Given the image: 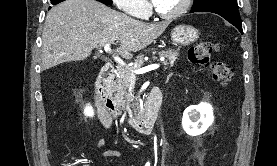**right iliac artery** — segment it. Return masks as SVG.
Here are the masks:
<instances>
[{"label": "right iliac artery", "instance_id": "right-iliac-artery-1", "mask_svg": "<svg viewBox=\"0 0 277 166\" xmlns=\"http://www.w3.org/2000/svg\"><path fill=\"white\" fill-rule=\"evenodd\" d=\"M145 166H150V163H149V162H147Z\"/></svg>", "mask_w": 277, "mask_h": 166}]
</instances>
